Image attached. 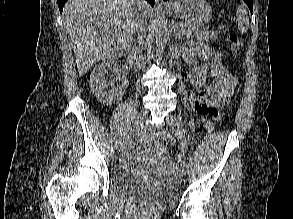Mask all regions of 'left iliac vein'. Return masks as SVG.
I'll return each instance as SVG.
<instances>
[{"label":"left iliac vein","instance_id":"left-iliac-vein-1","mask_svg":"<svg viewBox=\"0 0 293 219\" xmlns=\"http://www.w3.org/2000/svg\"><path fill=\"white\" fill-rule=\"evenodd\" d=\"M167 121H168V124L171 127L173 133L176 135L178 140L181 141V131L179 128V123H178L177 118L173 114H169L167 117ZM180 166H181L182 172L185 173L186 169H187V164H186L185 160L180 161Z\"/></svg>","mask_w":293,"mask_h":219}]
</instances>
